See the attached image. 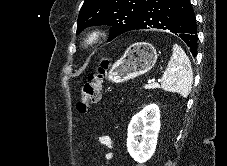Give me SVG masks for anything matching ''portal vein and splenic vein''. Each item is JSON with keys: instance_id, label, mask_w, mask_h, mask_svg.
Here are the masks:
<instances>
[{"instance_id": "obj_1", "label": "portal vein and splenic vein", "mask_w": 227, "mask_h": 166, "mask_svg": "<svg viewBox=\"0 0 227 166\" xmlns=\"http://www.w3.org/2000/svg\"><path fill=\"white\" fill-rule=\"evenodd\" d=\"M154 81H155L154 79H151V80L148 81V83H152ZM154 85H158V84L154 83Z\"/></svg>"}]
</instances>
